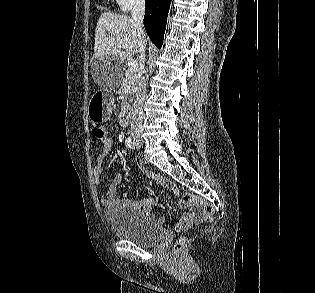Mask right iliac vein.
<instances>
[{
  "instance_id": "63e3f726",
  "label": "right iliac vein",
  "mask_w": 315,
  "mask_h": 293,
  "mask_svg": "<svg viewBox=\"0 0 315 293\" xmlns=\"http://www.w3.org/2000/svg\"><path fill=\"white\" fill-rule=\"evenodd\" d=\"M136 142L139 143V144H141V145L143 144V140H142L140 137H137V138H136Z\"/></svg>"
}]
</instances>
